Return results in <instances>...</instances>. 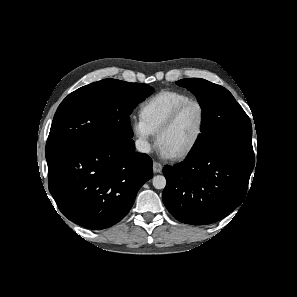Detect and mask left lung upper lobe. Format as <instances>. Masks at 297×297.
<instances>
[{
    "mask_svg": "<svg viewBox=\"0 0 297 297\" xmlns=\"http://www.w3.org/2000/svg\"><path fill=\"white\" fill-rule=\"evenodd\" d=\"M176 84L197 97L204 119L199 141L189 156L217 148L254 155L250 119L227 89L200 78Z\"/></svg>",
    "mask_w": 297,
    "mask_h": 297,
    "instance_id": "left-lung-upper-lobe-1",
    "label": "left lung upper lobe"
}]
</instances>
